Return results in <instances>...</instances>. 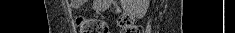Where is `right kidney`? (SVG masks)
I'll use <instances>...</instances> for the list:
<instances>
[{
    "mask_svg": "<svg viewBox=\"0 0 235 33\" xmlns=\"http://www.w3.org/2000/svg\"><path fill=\"white\" fill-rule=\"evenodd\" d=\"M122 4L128 14L137 17L144 16L148 8V0H124Z\"/></svg>",
    "mask_w": 235,
    "mask_h": 33,
    "instance_id": "ca27d5eb",
    "label": "right kidney"
}]
</instances>
